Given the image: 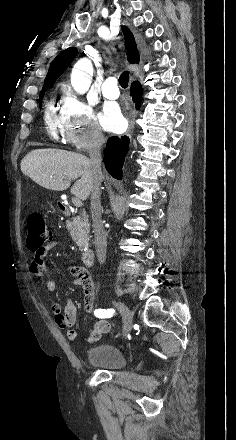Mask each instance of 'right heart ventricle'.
<instances>
[{
  "label": "right heart ventricle",
  "mask_w": 236,
  "mask_h": 440,
  "mask_svg": "<svg viewBox=\"0 0 236 440\" xmlns=\"http://www.w3.org/2000/svg\"><path fill=\"white\" fill-rule=\"evenodd\" d=\"M44 123L47 134L56 139L58 137V128L60 127V119L56 116L54 105L50 102L44 112Z\"/></svg>",
  "instance_id": "obj_1"
}]
</instances>
